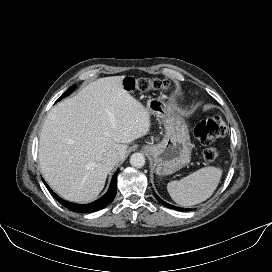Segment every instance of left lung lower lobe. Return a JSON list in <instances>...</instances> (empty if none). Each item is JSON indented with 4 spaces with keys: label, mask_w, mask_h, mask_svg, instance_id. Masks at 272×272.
<instances>
[{
    "label": "left lung lower lobe",
    "mask_w": 272,
    "mask_h": 272,
    "mask_svg": "<svg viewBox=\"0 0 272 272\" xmlns=\"http://www.w3.org/2000/svg\"><path fill=\"white\" fill-rule=\"evenodd\" d=\"M155 197L157 198V200L162 203L164 206L168 207V208H172V209H175V210H181V211H187V209H183V208H179V207H175L173 205H170L166 202H164L160 197H158L155 193H154Z\"/></svg>",
    "instance_id": "0a47b994"
}]
</instances>
